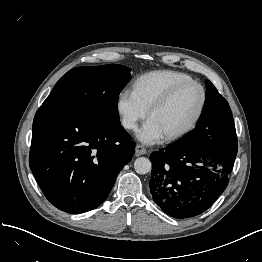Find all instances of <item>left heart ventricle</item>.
<instances>
[{
	"label": "left heart ventricle",
	"instance_id": "left-heart-ventricle-1",
	"mask_svg": "<svg viewBox=\"0 0 262 262\" xmlns=\"http://www.w3.org/2000/svg\"><path fill=\"white\" fill-rule=\"evenodd\" d=\"M201 99L196 86L180 90L162 109L155 112L152 119L161 129L164 136L184 128L196 113Z\"/></svg>",
	"mask_w": 262,
	"mask_h": 262
}]
</instances>
